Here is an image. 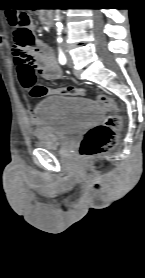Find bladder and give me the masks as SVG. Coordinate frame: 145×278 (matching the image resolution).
Returning <instances> with one entry per match:
<instances>
[{
	"mask_svg": "<svg viewBox=\"0 0 145 278\" xmlns=\"http://www.w3.org/2000/svg\"><path fill=\"white\" fill-rule=\"evenodd\" d=\"M34 114L33 145L56 150L94 125L101 113L94 100L48 95L36 104Z\"/></svg>",
	"mask_w": 145,
	"mask_h": 278,
	"instance_id": "obj_1",
	"label": "bladder"
}]
</instances>
